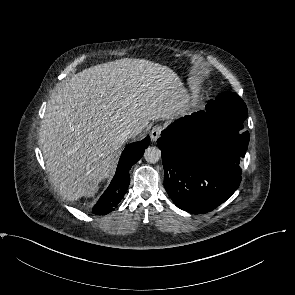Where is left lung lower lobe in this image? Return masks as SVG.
I'll list each match as a JSON object with an SVG mask.
<instances>
[{
    "instance_id": "obj_1",
    "label": "left lung lower lobe",
    "mask_w": 295,
    "mask_h": 295,
    "mask_svg": "<svg viewBox=\"0 0 295 295\" xmlns=\"http://www.w3.org/2000/svg\"><path fill=\"white\" fill-rule=\"evenodd\" d=\"M180 118L161 133L164 187L177 207L190 213L209 212L238 188L249 132L244 120L211 109Z\"/></svg>"
}]
</instances>
